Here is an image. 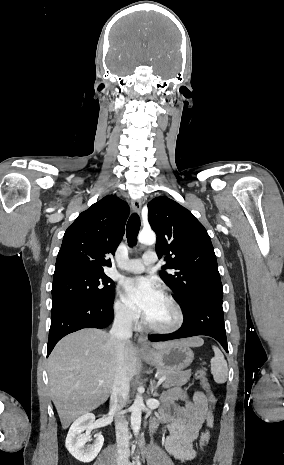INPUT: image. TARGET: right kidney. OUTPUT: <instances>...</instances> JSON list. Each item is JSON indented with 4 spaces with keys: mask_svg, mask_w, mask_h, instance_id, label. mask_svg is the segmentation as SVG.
<instances>
[{
    "mask_svg": "<svg viewBox=\"0 0 284 465\" xmlns=\"http://www.w3.org/2000/svg\"><path fill=\"white\" fill-rule=\"evenodd\" d=\"M94 421L95 415H92V413L82 415L71 425L66 437V449H68L72 457H75L81 463H91L103 447L104 439L102 435H95L96 439L93 445H86L88 441H93V439H90L89 435H83V433L93 429Z\"/></svg>",
    "mask_w": 284,
    "mask_h": 465,
    "instance_id": "right-kidney-1",
    "label": "right kidney"
}]
</instances>
